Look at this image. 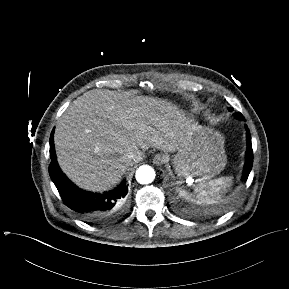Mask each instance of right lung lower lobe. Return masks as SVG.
Returning a JSON list of instances; mask_svg holds the SVG:
<instances>
[{
    "label": "right lung lower lobe",
    "mask_w": 289,
    "mask_h": 289,
    "mask_svg": "<svg viewBox=\"0 0 289 289\" xmlns=\"http://www.w3.org/2000/svg\"><path fill=\"white\" fill-rule=\"evenodd\" d=\"M53 133L54 130L50 135L51 163L49 174L64 204L88 223H105L116 218L119 206L128 193L125 181L116 189L104 194H94L79 189L69 181L58 166L54 150Z\"/></svg>",
    "instance_id": "98d812e1"
}]
</instances>
